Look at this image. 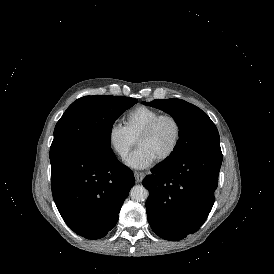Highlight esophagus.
<instances>
[{
    "label": "esophagus",
    "instance_id": "34e87169",
    "mask_svg": "<svg viewBox=\"0 0 274 274\" xmlns=\"http://www.w3.org/2000/svg\"><path fill=\"white\" fill-rule=\"evenodd\" d=\"M134 175H135V179L137 182H141L145 176V174L143 172H139V171H135Z\"/></svg>",
    "mask_w": 274,
    "mask_h": 274
}]
</instances>
